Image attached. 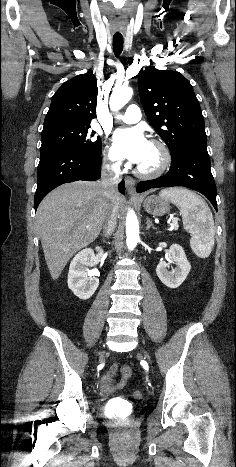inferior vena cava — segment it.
I'll return each mask as SVG.
<instances>
[{"label": "inferior vena cava", "instance_id": "1", "mask_svg": "<svg viewBox=\"0 0 236 467\" xmlns=\"http://www.w3.org/2000/svg\"><path fill=\"white\" fill-rule=\"evenodd\" d=\"M101 176V185L105 196L112 201L117 193V185L121 181L120 170L113 164H104ZM117 215V207L111 203L108 206L103 223V233L106 237H109L113 233L117 224Z\"/></svg>", "mask_w": 236, "mask_h": 467}]
</instances>
